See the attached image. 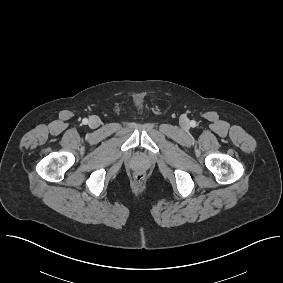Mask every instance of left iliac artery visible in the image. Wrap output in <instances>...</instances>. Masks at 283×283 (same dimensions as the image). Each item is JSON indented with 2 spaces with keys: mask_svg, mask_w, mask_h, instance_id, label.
<instances>
[{
  "mask_svg": "<svg viewBox=\"0 0 283 283\" xmlns=\"http://www.w3.org/2000/svg\"><path fill=\"white\" fill-rule=\"evenodd\" d=\"M190 124H191L192 127H195V126H196V122H195V121H191Z\"/></svg>",
  "mask_w": 283,
  "mask_h": 283,
  "instance_id": "44dca946",
  "label": "left iliac artery"
}]
</instances>
